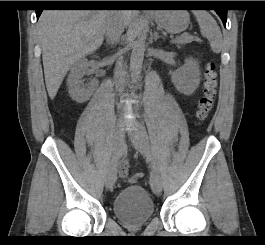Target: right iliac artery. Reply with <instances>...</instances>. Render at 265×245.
<instances>
[{
  "label": "right iliac artery",
  "mask_w": 265,
  "mask_h": 245,
  "mask_svg": "<svg viewBox=\"0 0 265 245\" xmlns=\"http://www.w3.org/2000/svg\"><path fill=\"white\" fill-rule=\"evenodd\" d=\"M121 154H122V153H121V150H119V152H118L117 155H113L112 159H111L110 162H109V165H110L113 161H115L117 157L121 156Z\"/></svg>",
  "instance_id": "obj_1"
}]
</instances>
